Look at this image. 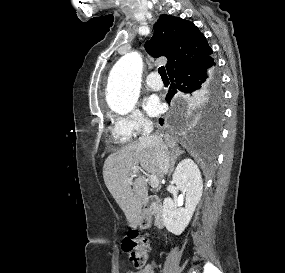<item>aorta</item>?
I'll use <instances>...</instances> for the list:
<instances>
[{
    "mask_svg": "<svg viewBox=\"0 0 285 273\" xmlns=\"http://www.w3.org/2000/svg\"><path fill=\"white\" fill-rule=\"evenodd\" d=\"M142 66V59L136 52L121 57L113 66L106 94V101L111 110L127 114L135 108L139 97Z\"/></svg>",
    "mask_w": 285,
    "mask_h": 273,
    "instance_id": "1",
    "label": "aorta"
}]
</instances>
